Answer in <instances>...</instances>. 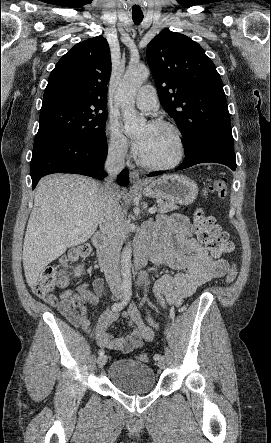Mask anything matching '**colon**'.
<instances>
[{"label":"colon","mask_w":271,"mask_h":443,"mask_svg":"<svg viewBox=\"0 0 271 443\" xmlns=\"http://www.w3.org/2000/svg\"><path fill=\"white\" fill-rule=\"evenodd\" d=\"M208 189L219 198H224L227 193L226 181L216 179L208 186ZM192 229L201 244L214 256H221L233 249V243L230 241L228 234L216 223L215 218L201 210L194 214ZM90 251L89 244L80 245L72 249L63 259V262L69 263L87 257ZM236 276V266L232 265L226 275V282L232 283ZM67 280L65 271L59 266H47L32 284V291L39 298H47L55 288L65 286ZM137 359L141 362H148L149 356L146 353H140L137 355Z\"/></svg>","instance_id":"1"}]
</instances>
